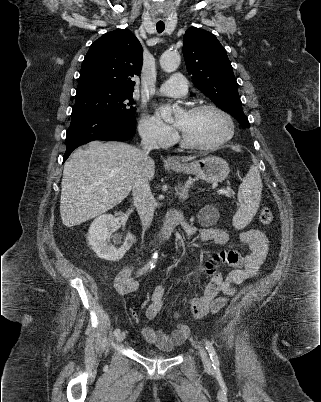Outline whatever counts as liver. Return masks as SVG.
Returning a JSON list of instances; mask_svg holds the SVG:
<instances>
[{
	"label": "liver",
	"instance_id": "1",
	"mask_svg": "<svg viewBox=\"0 0 321 402\" xmlns=\"http://www.w3.org/2000/svg\"><path fill=\"white\" fill-rule=\"evenodd\" d=\"M194 157H184L190 161ZM148 180L155 174V162L142 166L141 150L122 142H90L77 149L64 165L60 214L66 227L79 225L118 205L130 193L139 171Z\"/></svg>",
	"mask_w": 321,
	"mask_h": 402
}]
</instances>
